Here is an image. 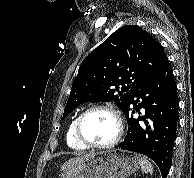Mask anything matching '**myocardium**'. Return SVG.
Returning a JSON list of instances; mask_svg holds the SVG:
<instances>
[{"label": "myocardium", "instance_id": "1", "mask_svg": "<svg viewBox=\"0 0 194 178\" xmlns=\"http://www.w3.org/2000/svg\"><path fill=\"white\" fill-rule=\"evenodd\" d=\"M95 110H103V111L110 113L116 121V124H117L116 134H115L114 138L111 141H109L108 143L95 144V143H92V142L88 141L87 139H85V137L82 135L81 124H82L84 117L87 114H89L90 112L95 111ZM123 131H124V124H123V120H122V117L119 114V112L111 105H103V104L92 105V106L88 107L87 109H85L77 117L76 122H75V128H74L76 139L82 145L86 146L87 148H95V149H108V148L114 147L120 141V139L123 135Z\"/></svg>", "mask_w": 194, "mask_h": 178}]
</instances>
